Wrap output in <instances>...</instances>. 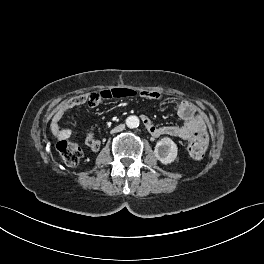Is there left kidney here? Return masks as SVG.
Listing matches in <instances>:
<instances>
[{"label": "left kidney", "instance_id": "left-kidney-1", "mask_svg": "<svg viewBox=\"0 0 264 264\" xmlns=\"http://www.w3.org/2000/svg\"><path fill=\"white\" fill-rule=\"evenodd\" d=\"M154 154L161 163L170 164L177 157L178 147L172 139L165 137L156 143Z\"/></svg>", "mask_w": 264, "mask_h": 264}]
</instances>
